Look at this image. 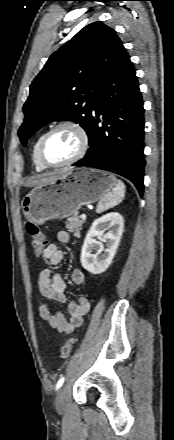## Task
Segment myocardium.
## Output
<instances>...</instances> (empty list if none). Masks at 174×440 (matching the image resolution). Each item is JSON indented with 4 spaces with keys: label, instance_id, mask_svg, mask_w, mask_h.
Masks as SVG:
<instances>
[{
    "label": "myocardium",
    "instance_id": "f54148a6",
    "mask_svg": "<svg viewBox=\"0 0 174 440\" xmlns=\"http://www.w3.org/2000/svg\"><path fill=\"white\" fill-rule=\"evenodd\" d=\"M61 128L71 129L78 135L79 147H78L76 154L73 157H71L70 159H68L67 161L60 163V164H50L45 160L44 155H43L44 145H45L47 138L54 131L61 129ZM89 142H90L89 135H88L86 129L79 122L74 121V120H63V121H60V122L54 124L53 126H51L42 135L40 142H39L38 158H39L41 164L46 168L58 169V168H62L65 166H69L71 164L76 163L77 161H79L81 158L84 157V155L86 154V152L88 150Z\"/></svg>",
    "mask_w": 174,
    "mask_h": 440
}]
</instances>
